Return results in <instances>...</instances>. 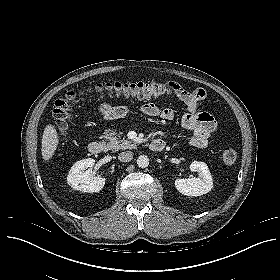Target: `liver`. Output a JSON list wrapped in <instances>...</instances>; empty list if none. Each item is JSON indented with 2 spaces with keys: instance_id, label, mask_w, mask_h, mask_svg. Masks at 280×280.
<instances>
[{
  "instance_id": "liver-1",
  "label": "liver",
  "mask_w": 280,
  "mask_h": 280,
  "mask_svg": "<svg viewBox=\"0 0 280 280\" xmlns=\"http://www.w3.org/2000/svg\"><path fill=\"white\" fill-rule=\"evenodd\" d=\"M41 143L42 158L47 162L54 155L59 143L58 133L53 125L48 124L45 127Z\"/></svg>"
}]
</instances>
